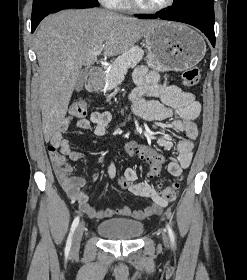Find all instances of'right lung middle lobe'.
<instances>
[{"instance_id": "obj_1", "label": "right lung middle lobe", "mask_w": 247, "mask_h": 280, "mask_svg": "<svg viewBox=\"0 0 247 280\" xmlns=\"http://www.w3.org/2000/svg\"><path fill=\"white\" fill-rule=\"evenodd\" d=\"M74 3H86L93 6H99L97 0H33L31 21L44 18L56 7Z\"/></svg>"}]
</instances>
